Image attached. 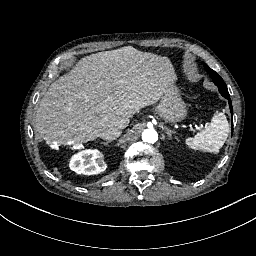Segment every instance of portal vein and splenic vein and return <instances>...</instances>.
Wrapping results in <instances>:
<instances>
[{
	"instance_id": "1",
	"label": "portal vein and splenic vein",
	"mask_w": 256,
	"mask_h": 256,
	"mask_svg": "<svg viewBox=\"0 0 256 256\" xmlns=\"http://www.w3.org/2000/svg\"><path fill=\"white\" fill-rule=\"evenodd\" d=\"M194 130L199 131V133H202V130H200V128L194 127Z\"/></svg>"
}]
</instances>
